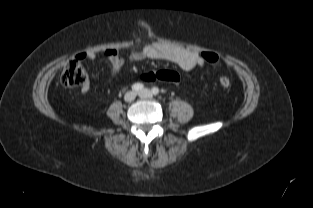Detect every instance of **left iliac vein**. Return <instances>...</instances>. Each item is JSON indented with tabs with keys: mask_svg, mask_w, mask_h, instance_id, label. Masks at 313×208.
<instances>
[{
	"mask_svg": "<svg viewBox=\"0 0 313 208\" xmlns=\"http://www.w3.org/2000/svg\"><path fill=\"white\" fill-rule=\"evenodd\" d=\"M138 95L141 98H150L152 96V93L149 89H143V90L138 92Z\"/></svg>",
	"mask_w": 313,
	"mask_h": 208,
	"instance_id": "left-iliac-vein-1",
	"label": "left iliac vein"
}]
</instances>
